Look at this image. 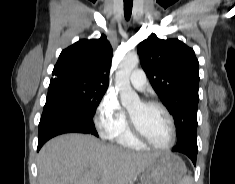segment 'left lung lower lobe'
Here are the masks:
<instances>
[{
    "instance_id": "1",
    "label": "left lung lower lobe",
    "mask_w": 235,
    "mask_h": 184,
    "mask_svg": "<svg viewBox=\"0 0 235 184\" xmlns=\"http://www.w3.org/2000/svg\"><path fill=\"white\" fill-rule=\"evenodd\" d=\"M172 151L174 152H180L185 155H187L193 162L194 165H196V158H197V147H191V146H175Z\"/></svg>"
}]
</instances>
